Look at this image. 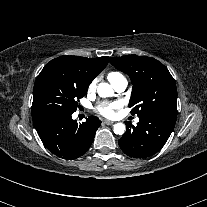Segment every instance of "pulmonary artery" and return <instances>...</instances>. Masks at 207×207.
Here are the masks:
<instances>
[{
	"instance_id": "e3ab8cb5",
	"label": "pulmonary artery",
	"mask_w": 207,
	"mask_h": 207,
	"mask_svg": "<svg viewBox=\"0 0 207 207\" xmlns=\"http://www.w3.org/2000/svg\"><path fill=\"white\" fill-rule=\"evenodd\" d=\"M127 85V80L124 77H118L112 83V86L117 93H123L126 90Z\"/></svg>"
}]
</instances>
